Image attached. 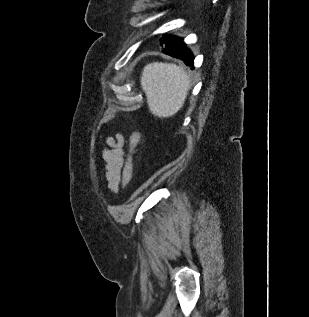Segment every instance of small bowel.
Instances as JSON below:
<instances>
[{"label":"small bowel","mask_w":309,"mask_h":317,"mask_svg":"<svg viewBox=\"0 0 309 317\" xmlns=\"http://www.w3.org/2000/svg\"><path fill=\"white\" fill-rule=\"evenodd\" d=\"M104 160V178L108 189L116 193L122 180L123 167L125 164V138L122 134L116 133L113 137L104 140L101 150Z\"/></svg>","instance_id":"small-bowel-1"}]
</instances>
